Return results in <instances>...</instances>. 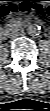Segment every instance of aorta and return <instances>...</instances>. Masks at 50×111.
<instances>
[{
  "label": "aorta",
  "mask_w": 50,
  "mask_h": 111,
  "mask_svg": "<svg viewBox=\"0 0 50 111\" xmlns=\"http://www.w3.org/2000/svg\"><path fill=\"white\" fill-rule=\"evenodd\" d=\"M40 26L37 25V24H30L28 27H27V32L29 35L31 36H35V35H39L40 34Z\"/></svg>",
  "instance_id": "aorta-1"
}]
</instances>
